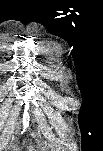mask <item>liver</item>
I'll use <instances>...</instances> for the list:
<instances>
[{"mask_svg": "<svg viewBox=\"0 0 103 151\" xmlns=\"http://www.w3.org/2000/svg\"><path fill=\"white\" fill-rule=\"evenodd\" d=\"M27 151H47L48 148H45V147H42V148H39V147H36V146H28L26 148Z\"/></svg>", "mask_w": 103, "mask_h": 151, "instance_id": "liver-1", "label": "liver"}]
</instances>
